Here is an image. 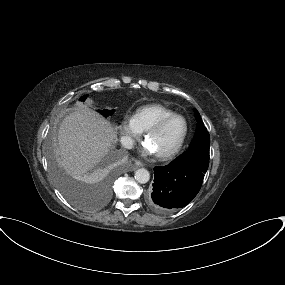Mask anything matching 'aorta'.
Returning a JSON list of instances; mask_svg holds the SVG:
<instances>
[{"instance_id": "aorta-1", "label": "aorta", "mask_w": 285, "mask_h": 285, "mask_svg": "<svg viewBox=\"0 0 285 285\" xmlns=\"http://www.w3.org/2000/svg\"><path fill=\"white\" fill-rule=\"evenodd\" d=\"M149 179H150V173L148 170H146L144 168H140V169L136 170L135 180L138 183L145 184L149 181Z\"/></svg>"}]
</instances>
